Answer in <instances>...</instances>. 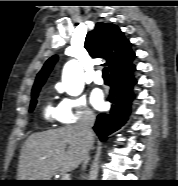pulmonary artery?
I'll return each instance as SVG.
<instances>
[{
	"label": "pulmonary artery",
	"instance_id": "obj_1",
	"mask_svg": "<svg viewBox=\"0 0 178 186\" xmlns=\"http://www.w3.org/2000/svg\"><path fill=\"white\" fill-rule=\"evenodd\" d=\"M93 80L96 84H102L103 83V78L101 76V72L97 71L94 76H93Z\"/></svg>",
	"mask_w": 178,
	"mask_h": 186
}]
</instances>
